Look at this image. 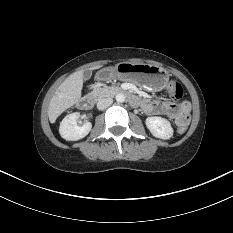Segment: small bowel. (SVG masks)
Instances as JSON below:
<instances>
[{
  "label": "small bowel",
  "mask_w": 233,
  "mask_h": 233,
  "mask_svg": "<svg viewBox=\"0 0 233 233\" xmlns=\"http://www.w3.org/2000/svg\"><path fill=\"white\" fill-rule=\"evenodd\" d=\"M144 111L149 115H165L173 119L179 127L187 126L190 118L191 106L188 102L174 104L167 100H144Z\"/></svg>",
  "instance_id": "small-bowel-1"
}]
</instances>
